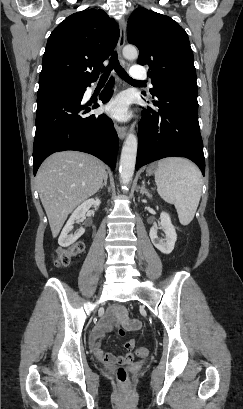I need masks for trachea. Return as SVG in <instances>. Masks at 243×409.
Returning a JSON list of instances; mask_svg holds the SVG:
<instances>
[{"mask_svg":"<svg viewBox=\"0 0 243 409\" xmlns=\"http://www.w3.org/2000/svg\"><path fill=\"white\" fill-rule=\"evenodd\" d=\"M115 69V71L117 72V74L125 81H137L132 79L124 70L123 68L120 66L119 60H118V55L117 52H113L111 58H110V63L109 65L106 67L104 73L101 76V80H107L109 73L111 70Z\"/></svg>","mask_w":243,"mask_h":409,"instance_id":"1","label":"trachea"}]
</instances>
